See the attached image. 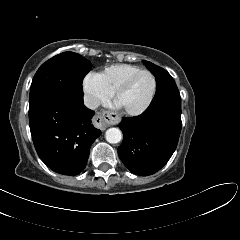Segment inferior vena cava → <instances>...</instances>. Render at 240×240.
Here are the masks:
<instances>
[{
    "label": "inferior vena cava",
    "mask_w": 240,
    "mask_h": 240,
    "mask_svg": "<svg viewBox=\"0 0 240 240\" xmlns=\"http://www.w3.org/2000/svg\"><path fill=\"white\" fill-rule=\"evenodd\" d=\"M84 105L89 109H96L100 106V101L98 98L92 95H85L84 96Z\"/></svg>",
    "instance_id": "inferior-vena-cava-1"
}]
</instances>
